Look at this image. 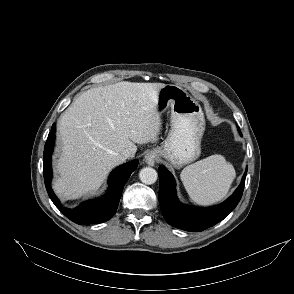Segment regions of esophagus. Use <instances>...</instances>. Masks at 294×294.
Listing matches in <instances>:
<instances>
[{
	"label": "esophagus",
	"mask_w": 294,
	"mask_h": 294,
	"mask_svg": "<svg viewBox=\"0 0 294 294\" xmlns=\"http://www.w3.org/2000/svg\"><path fill=\"white\" fill-rule=\"evenodd\" d=\"M155 157H156V154L154 152H149L145 156V162L148 165H151L152 166L155 163Z\"/></svg>",
	"instance_id": "obj_1"
}]
</instances>
